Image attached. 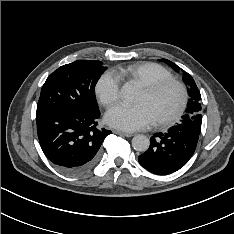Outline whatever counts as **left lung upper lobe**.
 <instances>
[{"mask_svg": "<svg viewBox=\"0 0 234 234\" xmlns=\"http://www.w3.org/2000/svg\"><path fill=\"white\" fill-rule=\"evenodd\" d=\"M161 61L167 63L169 66L178 71L179 67L173 62L167 59H160ZM184 82L190 86L188 89V93L190 96L188 108L186 110L185 115L182 117V120L179 124L181 127H184L188 130H191L195 133L200 134L201 132V123H202V115H201V95L195 84L193 78L188 74H184Z\"/></svg>", "mask_w": 234, "mask_h": 234, "instance_id": "5c2ea615", "label": "left lung upper lobe"}]
</instances>
